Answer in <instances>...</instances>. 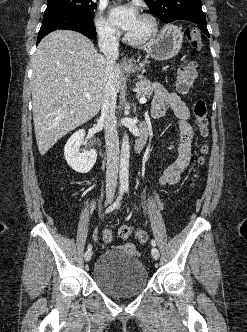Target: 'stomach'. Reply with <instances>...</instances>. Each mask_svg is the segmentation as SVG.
Here are the masks:
<instances>
[{"label": "stomach", "mask_w": 247, "mask_h": 332, "mask_svg": "<svg viewBox=\"0 0 247 332\" xmlns=\"http://www.w3.org/2000/svg\"><path fill=\"white\" fill-rule=\"evenodd\" d=\"M182 42L183 34L181 29L175 25H167L155 39L148 43L147 51L155 60H168L179 53ZM138 70V66L125 69L127 73H133Z\"/></svg>", "instance_id": "1"}]
</instances>
